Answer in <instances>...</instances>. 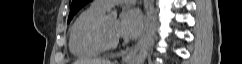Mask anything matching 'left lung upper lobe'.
Returning <instances> with one entry per match:
<instances>
[{
  "label": "left lung upper lobe",
  "instance_id": "5c2ea615",
  "mask_svg": "<svg viewBox=\"0 0 242 64\" xmlns=\"http://www.w3.org/2000/svg\"><path fill=\"white\" fill-rule=\"evenodd\" d=\"M91 0H73L71 4L70 14L68 17V23L72 20L74 15Z\"/></svg>",
  "mask_w": 242,
  "mask_h": 64
}]
</instances>
